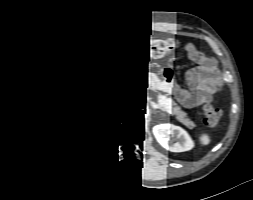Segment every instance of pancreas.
Here are the masks:
<instances>
[{
  "label": "pancreas",
  "mask_w": 253,
  "mask_h": 200,
  "mask_svg": "<svg viewBox=\"0 0 253 200\" xmlns=\"http://www.w3.org/2000/svg\"><path fill=\"white\" fill-rule=\"evenodd\" d=\"M158 99L164 110L174 115L180 122L184 123L185 125L189 124L190 120L185 116L180 107H175L176 104L170 98L160 93L158 94Z\"/></svg>",
  "instance_id": "obj_1"
}]
</instances>
